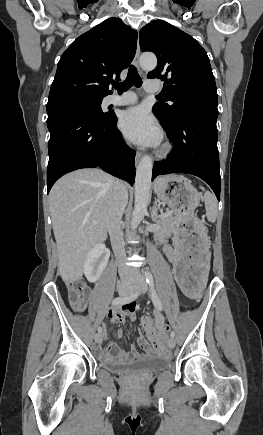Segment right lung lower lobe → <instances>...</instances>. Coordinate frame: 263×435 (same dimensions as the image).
I'll list each match as a JSON object with an SVG mask.
<instances>
[{"instance_id":"obj_1","label":"right lung lower lobe","mask_w":263,"mask_h":435,"mask_svg":"<svg viewBox=\"0 0 263 435\" xmlns=\"http://www.w3.org/2000/svg\"><path fill=\"white\" fill-rule=\"evenodd\" d=\"M117 117L74 112L47 120L50 131L47 192L64 174L80 169L101 167L126 180H135V151L126 147L116 127Z\"/></svg>"}]
</instances>
